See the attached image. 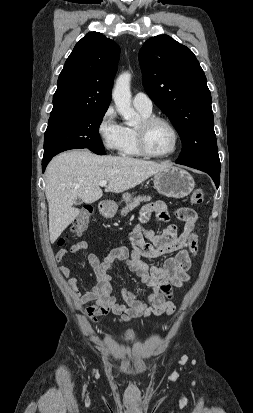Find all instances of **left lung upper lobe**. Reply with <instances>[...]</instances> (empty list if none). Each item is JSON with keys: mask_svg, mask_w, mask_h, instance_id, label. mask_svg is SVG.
<instances>
[{"mask_svg": "<svg viewBox=\"0 0 253 413\" xmlns=\"http://www.w3.org/2000/svg\"><path fill=\"white\" fill-rule=\"evenodd\" d=\"M142 84L178 131L181 164L220 166L211 94L193 52L168 35L147 40L139 52Z\"/></svg>", "mask_w": 253, "mask_h": 413, "instance_id": "1", "label": "left lung upper lobe"}]
</instances>
